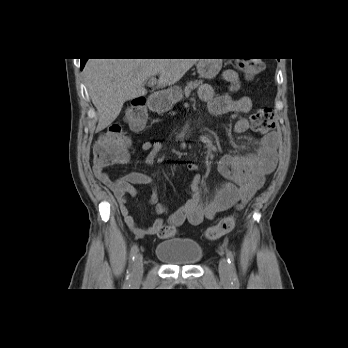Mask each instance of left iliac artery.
Listing matches in <instances>:
<instances>
[{
  "instance_id": "obj_1",
  "label": "left iliac artery",
  "mask_w": 348,
  "mask_h": 348,
  "mask_svg": "<svg viewBox=\"0 0 348 348\" xmlns=\"http://www.w3.org/2000/svg\"><path fill=\"white\" fill-rule=\"evenodd\" d=\"M226 258H227V262L229 265V271H230V275L232 278V282L237 285L239 282H238V278L236 275L234 255L230 250H226Z\"/></svg>"
}]
</instances>
